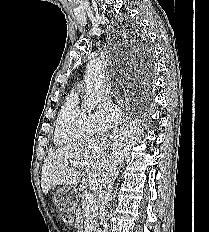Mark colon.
<instances>
[{
  "label": "colon",
  "mask_w": 209,
  "mask_h": 232,
  "mask_svg": "<svg viewBox=\"0 0 209 232\" xmlns=\"http://www.w3.org/2000/svg\"><path fill=\"white\" fill-rule=\"evenodd\" d=\"M62 218L65 222H70V215L69 214H62Z\"/></svg>",
  "instance_id": "1"
}]
</instances>
